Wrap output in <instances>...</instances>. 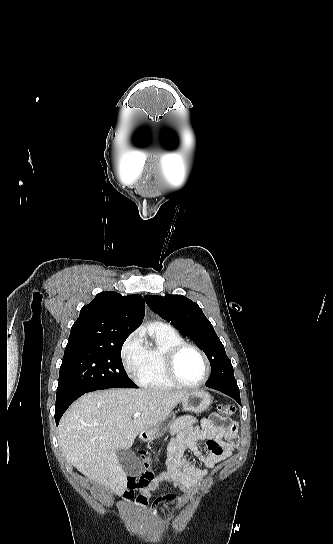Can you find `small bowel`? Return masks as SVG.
Listing matches in <instances>:
<instances>
[{"mask_svg":"<svg viewBox=\"0 0 333 544\" xmlns=\"http://www.w3.org/2000/svg\"><path fill=\"white\" fill-rule=\"evenodd\" d=\"M236 425L218 414L202 418L200 425H195L192 416H182L171 428V439L168 445L167 471L161 473L141 490L135 500L139 509L146 506L152 492L162 482H170L175 487L190 490L197 486L207 475L209 469L227 460L237 446ZM204 442V449L199 448ZM190 450L206 469L197 468L185 456ZM176 496H167L155 500L157 510L177 505Z\"/></svg>","mask_w":333,"mask_h":544,"instance_id":"obj_1","label":"small bowel"}]
</instances>
